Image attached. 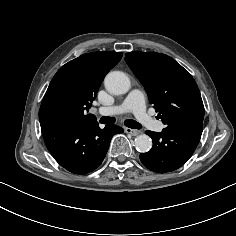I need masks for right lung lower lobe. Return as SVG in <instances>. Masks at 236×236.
Here are the masks:
<instances>
[{
	"instance_id": "1",
	"label": "right lung lower lobe",
	"mask_w": 236,
	"mask_h": 236,
	"mask_svg": "<svg viewBox=\"0 0 236 236\" xmlns=\"http://www.w3.org/2000/svg\"><path fill=\"white\" fill-rule=\"evenodd\" d=\"M45 144L54 159L74 174H86L104 160L111 138L123 130L114 125L100 129L97 121L70 124L53 119L41 124Z\"/></svg>"
}]
</instances>
